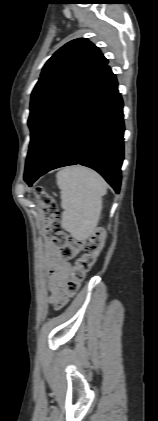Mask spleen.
<instances>
[{"instance_id": "obj_1", "label": "spleen", "mask_w": 158, "mask_h": 421, "mask_svg": "<svg viewBox=\"0 0 158 421\" xmlns=\"http://www.w3.org/2000/svg\"><path fill=\"white\" fill-rule=\"evenodd\" d=\"M56 177L64 209L62 227L76 239L88 237L100 217L102 196L107 190L105 180L79 165L63 168Z\"/></svg>"}]
</instances>
